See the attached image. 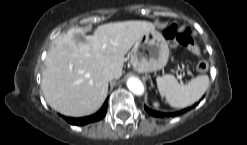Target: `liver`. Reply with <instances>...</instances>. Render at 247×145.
<instances>
[{
    "label": "liver",
    "instance_id": "1",
    "mask_svg": "<svg viewBox=\"0 0 247 145\" xmlns=\"http://www.w3.org/2000/svg\"><path fill=\"white\" fill-rule=\"evenodd\" d=\"M153 30L151 22L132 20L100 25L93 35L71 28L56 37L47 53L41 81L48 105L66 116L95 113L108 92L102 71L108 68L119 79L125 54Z\"/></svg>",
    "mask_w": 247,
    "mask_h": 145
}]
</instances>
